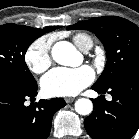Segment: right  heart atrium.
Returning a JSON list of instances; mask_svg holds the SVG:
<instances>
[{"mask_svg": "<svg viewBox=\"0 0 139 139\" xmlns=\"http://www.w3.org/2000/svg\"><path fill=\"white\" fill-rule=\"evenodd\" d=\"M51 40L48 37H40L34 40L26 49L24 61L27 67L36 74L46 71L51 63Z\"/></svg>", "mask_w": 139, "mask_h": 139, "instance_id": "right-heart-atrium-1", "label": "right heart atrium"}]
</instances>
